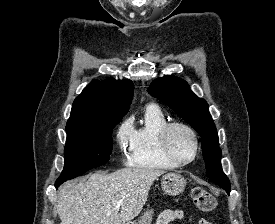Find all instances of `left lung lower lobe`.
Returning <instances> with one entry per match:
<instances>
[{
  "label": "left lung lower lobe",
  "instance_id": "obj_1",
  "mask_svg": "<svg viewBox=\"0 0 275 224\" xmlns=\"http://www.w3.org/2000/svg\"><path fill=\"white\" fill-rule=\"evenodd\" d=\"M224 189L227 191L228 194L230 193V187H226Z\"/></svg>",
  "mask_w": 275,
  "mask_h": 224
}]
</instances>
